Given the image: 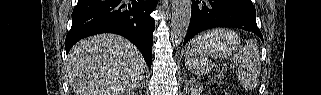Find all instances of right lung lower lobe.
Segmentation results:
<instances>
[{
    "label": "right lung lower lobe",
    "mask_w": 321,
    "mask_h": 95,
    "mask_svg": "<svg viewBox=\"0 0 321 95\" xmlns=\"http://www.w3.org/2000/svg\"><path fill=\"white\" fill-rule=\"evenodd\" d=\"M156 6L157 0H78L65 40L66 52L82 38L115 33L135 44L151 67L155 22L150 13Z\"/></svg>",
    "instance_id": "right-lung-lower-lobe-1"
}]
</instances>
